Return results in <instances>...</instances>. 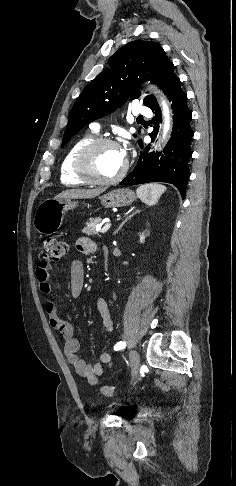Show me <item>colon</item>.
Returning <instances> with one entry per match:
<instances>
[{"label": "colon", "instance_id": "colon-1", "mask_svg": "<svg viewBox=\"0 0 236 486\" xmlns=\"http://www.w3.org/2000/svg\"><path fill=\"white\" fill-rule=\"evenodd\" d=\"M43 245L45 251L44 256L49 260L57 261L67 253V243L62 240L50 237L45 239ZM101 392L106 397H113L115 395L114 389L110 386H102Z\"/></svg>", "mask_w": 236, "mask_h": 486}]
</instances>
